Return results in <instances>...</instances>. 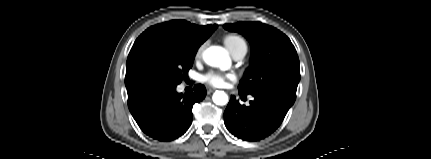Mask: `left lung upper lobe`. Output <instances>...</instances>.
Segmentation results:
<instances>
[{
  "label": "left lung upper lobe",
  "instance_id": "5c2ea615",
  "mask_svg": "<svg viewBox=\"0 0 431 159\" xmlns=\"http://www.w3.org/2000/svg\"><path fill=\"white\" fill-rule=\"evenodd\" d=\"M242 34L251 45L250 67L240 81L239 92L251 94L275 90L296 98L300 64L290 39L276 28L260 22L225 24Z\"/></svg>",
  "mask_w": 431,
  "mask_h": 159
}]
</instances>
